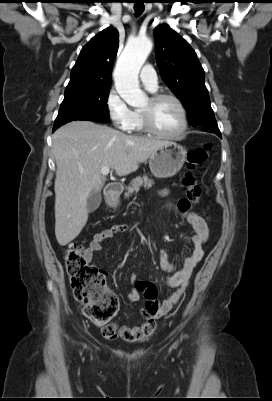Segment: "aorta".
Returning a JSON list of instances; mask_svg holds the SVG:
<instances>
[{
  "instance_id": "762f6f07",
  "label": "aorta",
  "mask_w": 272,
  "mask_h": 401,
  "mask_svg": "<svg viewBox=\"0 0 272 401\" xmlns=\"http://www.w3.org/2000/svg\"><path fill=\"white\" fill-rule=\"evenodd\" d=\"M152 41L147 37L129 42L119 57L114 82L118 94L130 106L136 107L147 101L146 94L139 87L138 74L152 50Z\"/></svg>"
}]
</instances>
